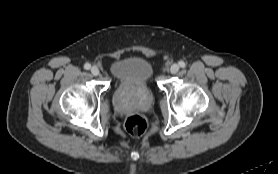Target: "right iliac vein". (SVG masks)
Segmentation results:
<instances>
[{
  "instance_id": "63e3f726",
  "label": "right iliac vein",
  "mask_w": 278,
  "mask_h": 174,
  "mask_svg": "<svg viewBox=\"0 0 278 174\" xmlns=\"http://www.w3.org/2000/svg\"><path fill=\"white\" fill-rule=\"evenodd\" d=\"M91 74L94 75V76H97V75L99 74V69H98V67L93 66V67L91 68Z\"/></svg>"
}]
</instances>
